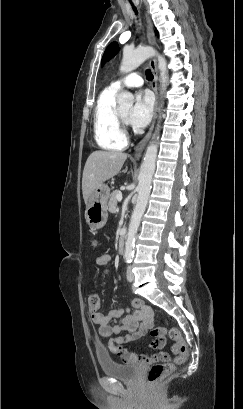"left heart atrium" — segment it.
<instances>
[{
    "label": "left heart atrium",
    "instance_id": "1",
    "mask_svg": "<svg viewBox=\"0 0 243 409\" xmlns=\"http://www.w3.org/2000/svg\"><path fill=\"white\" fill-rule=\"evenodd\" d=\"M153 110V101L147 91L139 92L136 96V101L131 107L127 121L128 123L135 128L145 127L152 116Z\"/></svg>",
    "mask_w": 243,
    "mask_h": 409
}]
</instances>
